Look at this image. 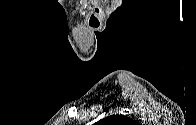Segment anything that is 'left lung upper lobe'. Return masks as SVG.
Segmentation results:
<instances>
[{
	"mask_svg": "<svg viewBox=\"0 0 196 125\" xmlns=\"http://www.w3.org/2000/svg\"><path fill=\"white\" fill-rule=\"evenodd\" d=\"M101 125H132L134 121L122 115H112L99 121Z\"/></svg>",
	"mask_w": 196,
	"mask_h": 125,
	"instance_id": "left-lung-upper-lobe-1",
	"label": "left lung upper lobe"
}]
</instances>
